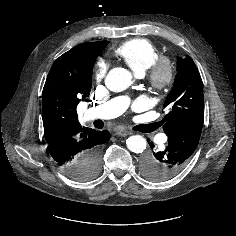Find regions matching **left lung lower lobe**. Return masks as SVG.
<instances>
[{
	"label": "left lung lower lobe",
	"mask_w": 236,
	"mask_h": 236,
	"mask_svg": "<svg viewBox=\"0 0 236 236\" xmlns=\"http://www.w3.org/2000/svg\"><path fill=\"white\" fill-rule=\"evenodd\" d=\"M203 124H193L168 135V146L164 151L152 150L141 162V171L153 181L168 180L188 164L198 146ZM150 147L154 145L149 141Z\"/></svg>",
	"instance_id": "1"
}]
</instances>
